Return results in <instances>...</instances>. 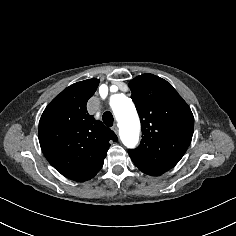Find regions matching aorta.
Returning <instances> with one entry per match:
<instances>
[{
    "mask_svg": "<svg viewBox=\"0 0 236 236\" xmlns=\"http://www.w3.org/2000/svg\"><path fill=\"white\" fill-rule=\"evenodd\" d=\"M110 106L116 117L121 141L128 148L136 146L139 140L140 121L136 108L125 94H115L110 98Z\"/></svg>",
    "mask_w": 236,
    "mask_h": 236,
    "instance_id": "aorta-1",
    "label": "aorta"
}]
</instances>
